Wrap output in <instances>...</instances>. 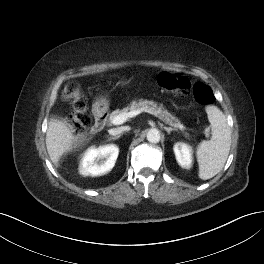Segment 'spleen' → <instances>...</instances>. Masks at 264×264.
Returning a JSON list of instances; mask_svg holds the SVG:
<instances>
[{
    "instance_id": "spleen-1",
    "label": "spleen",
    "mask_w": 264,
    "mask_h": 264,
    "mask_svg": "<svg viewBox=\"0 0 264 264\" xmlns=\"http://www.w3.org/2000/svg\"><path fill=\"white\" fill-rule=\"evenodd\" d=\"M212 138L197 147L199 178L207 180L217 175L225 165L231 146V131L226 116L216 106L206 108Z\"/></svg>"
}]
</instances>
